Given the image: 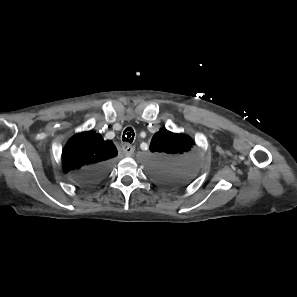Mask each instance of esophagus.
Here are the masks:
<instances>
[{"instance_id":"esophagus-1","label":"esophagus","mask_w":297,"mask_h":297,"mask_svg":"<svg viewBox=\"0 0 297 297\" xmlns=\"http://www.w3.org/2000/svg\"><path fill=\"white\" fill-rule=\"evenodd\" d=\"M122 149H123V152L126 156H131L134 151H135V147L134 146H131L129 144H124L122 146Z\"/></svg>"}]
</instances>
